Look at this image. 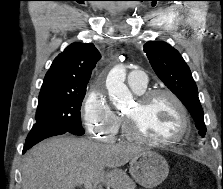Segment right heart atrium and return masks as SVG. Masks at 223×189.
<instances>
[{
    "instance_id": "1",
    "label": "right heart atrium",
    "mask_w": 223,
    "mask_h": 189,
    "mask_svg": "<svg viewBox=\"0 0 223 189\" xmlns=\"http://www.w3.org/2000/svg\"><path fill=\"white\" fill-rule=\"evenodd\" d=\"M81 116L86 130L94 138L104 142L113 140L120 125V118L106 95L96 88L87 93L82 103Z\"/></svg>"
}]
</instances>
